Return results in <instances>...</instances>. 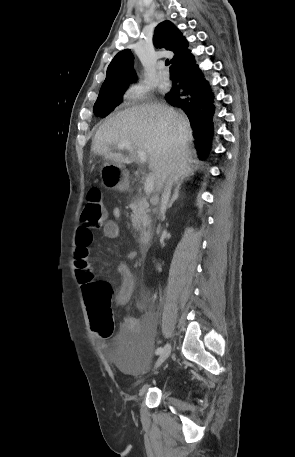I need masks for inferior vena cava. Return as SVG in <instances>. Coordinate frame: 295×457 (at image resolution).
Returning <instances> with one entry per match:
<instances>
[{
	"instance_id": "1",
	"label": "inferior vena cava",
	"mask_w": 295,
	"mask_h": 457,
	"mask_svg": "<svg viewBox=\"0 0 295 457\" xmlns=\"http://www.w3.org/2000/svg\"><path fill=\"white\" fill-rule=\"evenodd\" d=\"M175 180H176V175L173 172L172 174H170L167 177V179L165 181L164 190H163V193H162V196H161V204H160V215L162 216V218L165 217V212H166V209H167V203H168V200H169V197H170V194H171V189H172V186H173V183H174Z\"/></svg>"
}]
</instances>
